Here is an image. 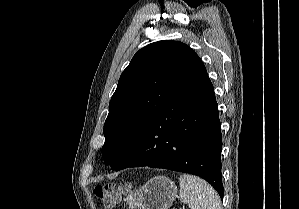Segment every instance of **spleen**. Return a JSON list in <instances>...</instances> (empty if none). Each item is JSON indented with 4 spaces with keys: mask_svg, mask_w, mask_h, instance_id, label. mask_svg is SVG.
Returning <instances> with one entry per match:
<instances>
[{
    "mask_svg": "<svg viewBox=\"0 0 299 209\" xmlns=\"http://www.w3.org/2000/svg\"><path fill=\"white\" fill-rule=\"evenodd\" d=\"M179 198L190 209H222L220 198L215 189L205 180L190 174L179 178Z\"/></svg>",
    "mask_w": 299,
    "mask_h": 209,
    "instance_id": "spleen-1",
    "label": "spleen"
}]
</instances>
